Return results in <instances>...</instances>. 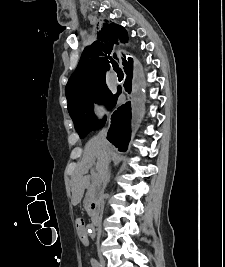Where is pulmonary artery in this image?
<instances>
[{
    "label": "pulmonary artery",
    "instance_id": "e3ab8cb5",
    "mask_svg": "<svg viewBox=\"0 0 225 267\" xmlns=\"http://www.w3.org/2000/svg\"><path fill=\"white\" fill-rule=\"evenodd\" d=\"M111 81L113 83H118V76L114 72L111 73Z\"/></svg>",
    "mask_w": 225,
    "mask_h": 267
}]
</instances>
